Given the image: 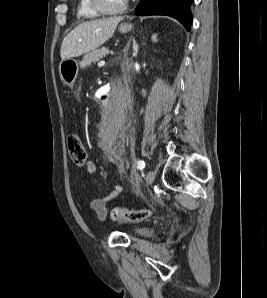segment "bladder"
Wrapping results in <instances>:
<instances>
[{"label": "bladder", "instance_id": "1", "mask_svg": "<svg viewBox=\"0 0 267 298\" xmlns=\"http://www.w3.org/2000/svg\"><path fill=\"white\" fill-rule=\"evenodd\" d=\"M133 233L136 236L143 237V238H150L153 235V231L151 228L148 227H139L133 230Z\"/></svg>", "mask_w": 267, "mask_h": 298}]
</instances>
